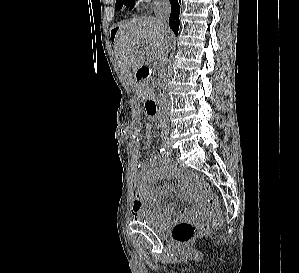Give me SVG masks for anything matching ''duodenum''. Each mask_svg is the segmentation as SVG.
<instances>
[{
  "label": "duodenum",
  "instance_id": "obj_1",
  "mask_svg": "<svg viewBox=\"0 0 299 273\" xmlns=\"http://www.w3.org/2000/svg\"><path fill=\"white\" fill-rule=\"evenodd\" d=\"M151 75L152 69L147 65H143L135 71L134 77L137 82H143L147 81L151 77ZM145 109L151 117L156 119L158 118L159 109L157 101L150 95L145 98Z\"/></svg>",
  "mask_w": 299,
  "mask_h": 273
}]
</instances>
